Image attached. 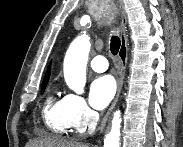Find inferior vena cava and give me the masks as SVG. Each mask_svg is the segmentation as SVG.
I'll return each mask as SVG.
<instances>
[{"instance_id": "obj_1", "label": "inferior vena cava", "mask_w": 183, "mask_h": 147, "mask_svg": "<svg viewBox=\"0 0 183 147\" xmlns=\"http://www.w3.org/2000/svg\"><path fill=\"white\" fill-rule=\"evenodd\" d=\"M98 118H99V115H98V113L95 112L94 115H93L92 120L90 121L91 124L89 126V131H88L89 134H92L94 132Z\"/></svg>"}]
</instances>
